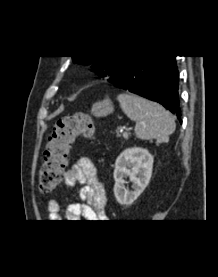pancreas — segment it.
<instances>
[{"instance_id":"1","label":"pancreas","mask_w":218,"mask_h":277,"mask_svg":"<svg viewBox=\"0 0 218 277\" xmlns=\"http://www.w3.org/2000/svg\"><path fill=\"white\" fill-rule=\"evenodd\" d=\"M129 137V134L128 133H123V138L127 139Z\"/></svg>"}]
</instances>
